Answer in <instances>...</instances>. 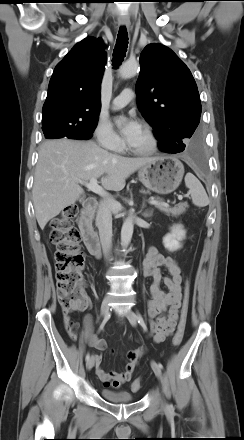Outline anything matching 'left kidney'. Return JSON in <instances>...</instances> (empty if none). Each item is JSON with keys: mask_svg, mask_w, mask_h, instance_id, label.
Listing matches in <instances>:
<instances>
[{"mask_svg": "<svg viewBox=\"0 0 244 440\" xmlns=\"http://www.w3.org/2000/svg\"><path fill=\"white\" fill-rule=\"evenodd\" d=\"M186 231L182 225H174L171 232L163 237L164 247L173 252L182 247L181 241L185 238Z\"/></svg>", "mask_w": 244, "mask_h": 440, "instance_id": "1", "label": "left kidney"}]
</instances>
